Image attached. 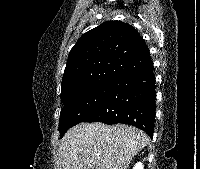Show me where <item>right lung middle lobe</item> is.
<instances>
[{
  "label": "right lung middle lobe",
  "mask_w": 200,
  "mask_h": 169,
  "mask_svg": "<svg viewBox=\"0 0 200 169\" xmlns=\"http://www.w3.org/2000/svg\"><path fill=\"white\" fill-rule=\"evenodd\" d=\"M117 80L104 79L97 81L61 100L64 107L59 120L60 137L72 126L82 122L93 113L109 95Z\"/></svg>",
  "instance_id": "right-lung-middle-lobe-1"
}]
</instances>
